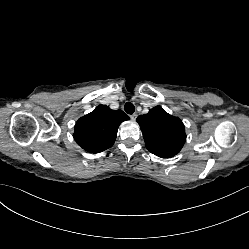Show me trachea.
Returning <instances> with one entry per match:
<instances>
[{
	"label": "trachea",
	"instance_id": "trachea-1",
	"mask_svg": "<svg viewBox=\"0 0 249 249\" xmlns=\"http://www.w3.org/2000/svg\"><path fill=\"white\" fill-rule=\"evenodd\" d=\"M124 110L128 114H133L135 111V107L131 102H127L124 106Z\"/></svg>",
	"mask_w": 249,
	"mask_h": 249
}]
</instances>
